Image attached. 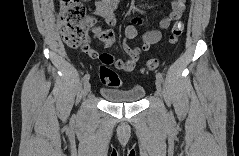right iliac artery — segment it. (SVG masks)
I'll return each mask as SVG.
<instances>
[{
  "label": "right iliac artery",
  "mask_w": 239,
  "mask_h": 156,
  "mask_svg": "<svg viewBox=\"0 0 239 156\" xmlns=\"http://www.w3.org/2000/svg\"><path fill=\"white\" fill-rule=\"evenodd\" d=\"M90 79V75L89 74H85V76L83 77V83H87Z\"/></svg>",
  "instance_id": "1"
}]
</instances>
